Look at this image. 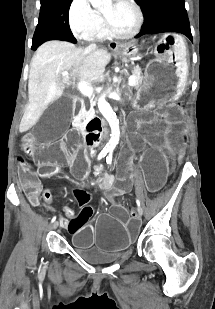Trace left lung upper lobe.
Instances as JSON below:
<instances>
[{"instance_id":"left-lung-upper-lobe-1","label":"left lung upper lobe","mask_w":215,"mask_h":309,"mask_svg":"<svg viewBox=\"0 0 215 309\" xmlns=\"http://www.w3.org/2000/svg\"><path fill=\"white\" fill-rule=\"evenodd\" d=\"M136 1L140 4L145 19L137 37L152 32H179L193 41L184 0Z\"/></svg>"}]
</instances>
